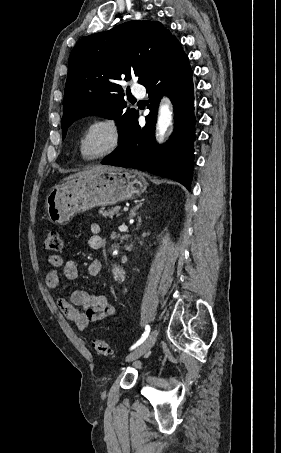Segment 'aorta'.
<instances>
[{"label":"aorta","mask_w":281,"mask_h":453,"mask_svg":"<svg viewBox=\"0 0 281 453\" xmlns=\"http://www.w3.org/2000/svg\"><path fill=\"white\" fill-rule=\"evenodd\" d=\"M173 120V111L171 110L170 107V100L167 97H164L160 108H159V114H158V119H157V138L159 142H162L164 140V135L166 133L167 128L171 125ZM117 254V250L113 252V255ZM125 275V272L123 270L116 269L115 271V278L118 279H123Z\"/></svg>","instance_id":"762f6f07"}]
</instances>
